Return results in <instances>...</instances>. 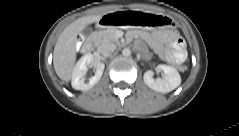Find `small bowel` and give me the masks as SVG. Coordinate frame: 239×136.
<instances>
[{
	"label": "small bowel",
	"instance_id": "small-bowel-1",
	"mask_svg": "<svg viewBox=\"0 0 239 136\" xmlns=\"http://www.w3.org/2000/svg\"><path fill=\"white\" fill-rule=\"evenodd\" d=\"M170 36L173 38V59L176 62H181L185 58L184 41L178 36H176L174 33L170 34ZM137 46L141 47V44L138 43Z\"/></svg>",
	"mask_w": 239,
	"mask_h": 136
}]
</instances>
